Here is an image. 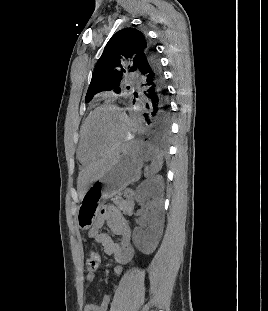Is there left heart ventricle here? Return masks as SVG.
<instances>
[{"instance_id": "b2bd125f", "label": "left heart ventricle", "mask_w": 268, "mask_h": 311, "mask_svg": "<svg viewBox=\"0 0 268 311\" xmlns=\"http://www.w3.org/2000/svg\"><path fill=\"white\" fill-rule=\"evenodd\" d=\"M123 131V120L113 109H103L97 112L88 126V142L97 152H103L112 147Z\"/></svg>"}]
</instances>
